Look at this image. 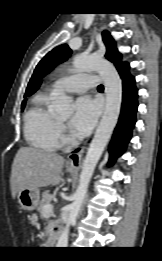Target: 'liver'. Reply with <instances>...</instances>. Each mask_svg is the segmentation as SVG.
<instances>
[{
    "label": "liver",
    "instance_id": "1",
    "mask_svg": "<svg viewBox=\"0 0 162 261\" xmlns=\"http://www.w3.org/2000/svg\"><path fill=\"white\" fill-rule=\"evenodd\" d=\"M64 158L54 152L33 147H21L14 158L11 170V193L25 188L38 189L61 182Z\"/></svg>",
    "mask_w": 162,
    "mask_h": 261
}]
</instances>
